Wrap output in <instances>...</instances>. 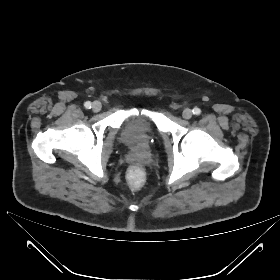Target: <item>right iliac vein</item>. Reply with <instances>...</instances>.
<instances>
[{"mask_svg":"<svg viewBox=\"0 0 280 280\" xmlns=\"http://www.w3.org/2000/svg\"><path fill=\"white\" fill-rule=\"evenodd\" d=\"M101 108H102V104H101L99 101L93 102V104H92V110H93L94 112H99V111L101 110Z\"/></svg>","mask_w":280,"mask_h":280,"instance_id":"obj_1","label":"right iliac vein"}]
</instances>
